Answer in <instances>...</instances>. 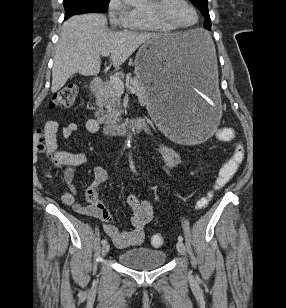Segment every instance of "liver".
<instances>
[{"instance_id":"liver-1","label":"liver","mask_w":286,"mask_h":308,"mask_svg":"<svg viewBox=\"0 0 286 308\" xmlns=\"http://www.w3.org/2000/svg\"><path fill=\"white\" fill-rule=\"evenodd\" d=\"M160 36H167L177 44L193 41L183 33L162 35L132 31L109 32L104 15L72 16L63 23L55 48L51 92L60 90L75 73L97 75L102 51H110L113 66L119 68L140 45Z\"/></svg>"}]
</instances>
